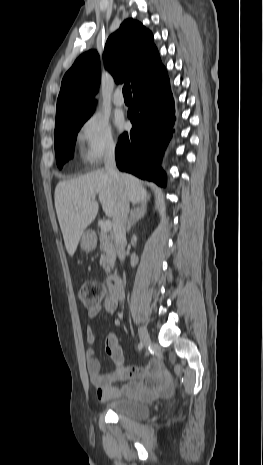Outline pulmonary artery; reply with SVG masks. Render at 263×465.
<instances>
[{
  "mask_svg": "<svg viewBox=\"0 0 263 465\" xmlns=\"http://www.w3.org/2000/svg\"><path fill=\"white\" fill-rule=\"evenodd\" d=\"M113 103L116 106H123L124 105V98L122 96L121 90H117L113 96Z\"/></svg>",
  "mask_w": 263,
  "mask_h": 465,
  "instance_id": "pulmonary-artery-1",
  "label": "pulmonary artery"
}]
</instances>
